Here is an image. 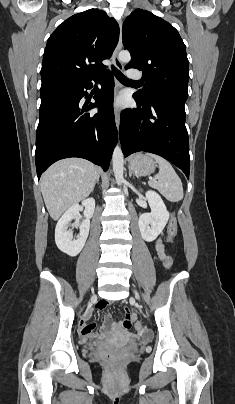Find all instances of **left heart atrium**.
<instances>
[{
  "label": "left heart atrium",
  "instance_id": "1",
  "mask_svg": "<svg viewBox=\"0 0 235 404\" xmlns=\"http://www.w3.org/2000/svg\"><path fill=\"white\" fill-rule=\"evenodd\" d=\"M125 104V101H124V98H119L118 100H117V105L118 106H123Z\"/></svg>",
  "mask_w": 235,
  "mask_h": 404
}]
</instances>
